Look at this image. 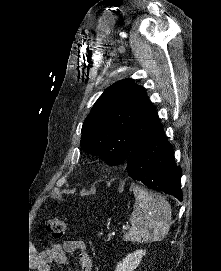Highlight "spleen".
<instances>
[{"label":"spleen","mask_w":221,"mask_h":271,"mask_svg":"<svg viewBox=\"0 0 221 271\" xmlns=\"http://www.w3.org/2000/svg\"><path fill=\"white\" fill-rule=\"evenodd\" d=\"M135 205L129 217L131 227L125 241L151 243L162 241L171 225V205L165 197L149 193L142 187H135Z\"/></svg>","instance_id":"3e777b00"}]
</instances>
